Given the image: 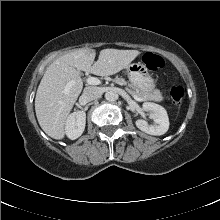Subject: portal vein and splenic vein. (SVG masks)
Wrapping results in <instances>:
<instances>
[{"instance_id": "1", "label": "portal vein and splenic vein", "mask_w": 220, "mask_h": 220, "mask_svg": "<svg viewBox=\"0 0 220 220\" xmlns=\"http://www.w3.org/2000/svg\"><path fill=\"white\" fill-rule=\"evenodd\" d=\"M86 81H87V83H88L89 85H99V84L101 83V81H100L98 78H96V77H88ZM73 85H74V82H72V81L69 82V83L67 84L66 88H65V91L68 92L69 89H70ZM132 97H133L135 100H137V101L143 100L142 98L138 97V96L135 95V94H132Z\"/></svg>"}]
</instances>
